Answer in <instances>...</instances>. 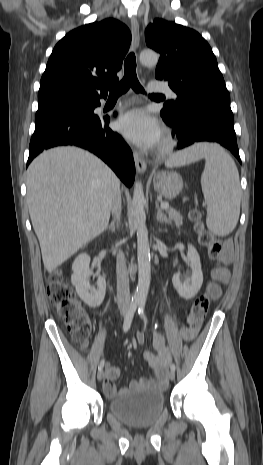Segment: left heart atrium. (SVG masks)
<instances>
[{"label": "left heart atrium", "instance_id": "left-heart-atrium-1", "mask_svg": "<svg viewBox=\"0 0 263 465\" xmlns=\"http://www.w3.org/2000/svg\"><path fill=\"white\" fill-rule=\"evenodd\" d=\"M116 128L125 138L143 147H152L161 138L158 121L140 108L122 114Z\"/></svg>", "mask_w": 263, "mask_h": 465}]
</instances>
